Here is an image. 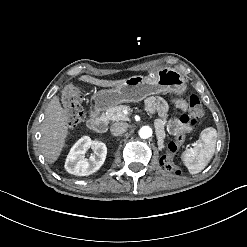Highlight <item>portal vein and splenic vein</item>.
<instances>
[{
    "mask_svg": "<svg viewBox=\"0 0 247 247\" xmlns=\"http://www.w3.org/2000/svg\"><path fill=\"white\" fill-rule=\"evenodd\" d=\"M189 146H192V143H189Z\"/></svg>",
    "mask_w": 247,
    "mask_h": 247,
    "instance_id": "portal-vein-and-splenic-vein-1",
    "label": "portal vein and splenic vein"
}]
</instances>
